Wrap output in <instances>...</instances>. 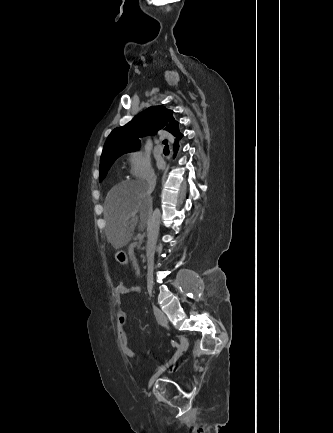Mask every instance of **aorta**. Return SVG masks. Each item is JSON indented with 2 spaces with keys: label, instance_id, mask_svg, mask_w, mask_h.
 I'll use <instances>...</instances> for the list:
<instances>
[{
  "label": "aorta",
  "instance_id": "aorta-1",
  "mask_svg": "<svg viewBox=\"0 0 333 433\" xmlns=\"http://www.w3.org/2000/svg\"><path fill=\"white\" fill-rule=\"evenodd\" d=\"M161 222V211L159 208H155L151 218L147 223V244H146V256L147 258H153L158 240L159 229Z\"/></svg>",
  "mask_w": 333,
  "mask_h": 433
}]
</instances>
